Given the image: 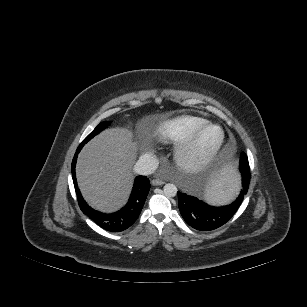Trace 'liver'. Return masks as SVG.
I'll return each mask as SVG.
<instances>
[{
    "instance_id": "6515ba94",
    "label": "liver",
    "mask_w": 307,
    "mask_h": 307,
    "mask_svg": "<svg viewBox=\"0 0 307 307\" xmlns=\"http://www.w3.org/2000/svg\"><path fill=\"white\" fill-rule=\"evenodd\" d=\"M137 154L133 133L126 128L107 129L84 146L78 156L76 176L90 206L113 212L126 203Z\"/></svg>"
}]
</instances>
